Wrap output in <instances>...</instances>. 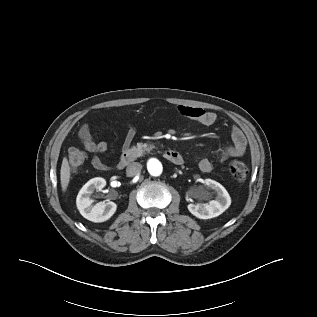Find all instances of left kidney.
I'll use <instances>...</instances> for the list:
<instances>
[{
    "mask_svg": "<svg viewBox=\"0 0 317 317\" xmlns=\"http://www.w3.org/2000/svg\"><path fill=\"white\" fill-rule=\"evenodd\" d=\"M204 184L214 191L216 199L209 203H190L187 208L191 214L199 219H211L221 215L231 205V198L227 190L212 179H205Z\"/></svg>",
    "mask_w": 317,
    "mask_h": 317,
    "instance_id": "obj_1",
    "label": "left kidney"
}]
</instances>
